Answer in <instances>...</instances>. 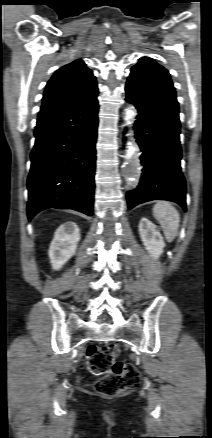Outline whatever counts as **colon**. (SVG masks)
<instances>
[{
    "label": "colon",
    "mask_w": 212,
    "mask_h": 438,
    "mask_svg": "<svg viewBox=\"0 0 212 438\" xmlns=\"http://www.w3.org/2000/svg\"><path fill=\"white\" fill-rule=\"evenodd\" d=\"M120 349L116 344L105 346L91 345L87 350L86 369L100 376L95 383L97 392L106 396H115L127 390L137 388L141 376L136 367L118 360Z\"/></svg>",
    "instance_id": "colon-1"
}]
</instances>
